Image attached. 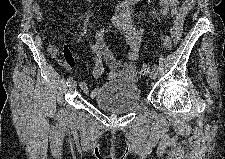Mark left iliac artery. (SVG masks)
I'll list each match as a JSON object with an SVG mask.
<instances>
[{
	"label": "left iliac artery",
	"instance_id": "1",
	"mask_svg": "<svg viewBox=\"0 0 225 159\" xmlns=\"http://www.w3.org/2000/svg\"><path fill=\"white\" fill-rule=\"evenodd\" d=\"M154 69L158 70V66L156 64H154Z\"/></svg>",
	"mask_w": 225,
	"mask_h": 159
}]
</instances>
